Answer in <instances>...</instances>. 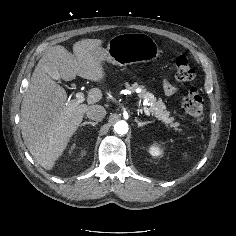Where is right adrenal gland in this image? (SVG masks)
Masks as SVG:
<instances>
[{
  "label": "right adrenal gland",
  "mask_w": 236,
  "mask_h": 236,
  "mask_svg": "<svg viewBox=\"0 0 236 236\" xmlns=\"http://www.w3.org/2000/svg\"><path fill=\"white\" fill-rule=\"evenodd\" d=\"M98 124V122H91V121H85L81 124V127L82 126H85V125H92V126H96Z\"/></svg>",
  "instance_id": "1"
}]
</instances>
